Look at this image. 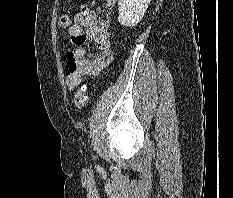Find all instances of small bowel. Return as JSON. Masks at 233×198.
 Wrapping results in <instances>:
<instances>
[{"label": "small bowel", "mask_w": 233, "mask_h": 198, "mask_svg": "<svg viewBox=\"0 0 233 198\" xmlns=\"http://www.w3.org/2000/svg\"><path fill=\"white\" fill-rule=\"evenodd\" d=\"M117 0H103L106 8L114 6ZM112 16L105 11L101 15L87 8L74 15V23L68 27L71 48L66 53L69 73L65 78L69 90H74L84 75H98L112 60L110 49ZM87 41L94 42L97 52L88 55L83 47ZM70 58L75 64L71 69Z\"/></svg>", "instance_id": "c3829d8e"}]
</instances>
